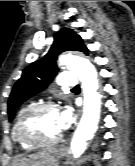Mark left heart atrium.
Listing matches in <instances>:
<instances>
[{"mask_svg":"<svg viewBox=\"0 0 135 166\" xmlns=\"http://www.w3.org/2000/svg\"><path fill=\"white\" fill-rule=\"evenodd\" d=\"M72 122V112L70 109H66L59 112V126L61 130H64L70 126Z\"/></svg>","mask_w":135,"mask_h":166,"instance_id":"39dd6f15","label":"left heart atrium"}]
</instances>
